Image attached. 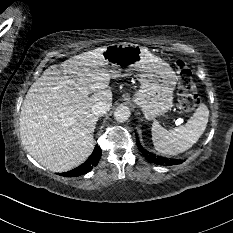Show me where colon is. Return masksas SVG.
Wrapping results in <instances>:
<instances>
[{
    "instance_id": "colon-1",
    "label": "colon",
    "mask_w": 233,
    "mask_h": 233,
    "mask_svg": "<svg viewBox=\"0 0 233 233\" xmlns=\"http://www.w3.org/2000/svg\"><path fill=\"white\" fill-rule=\"evenodd\" d=\"M175 67L178 73V104L182 110L191 111L198 105L192 72L182 60H176Z\"/></svg>"
}]
</instances>
